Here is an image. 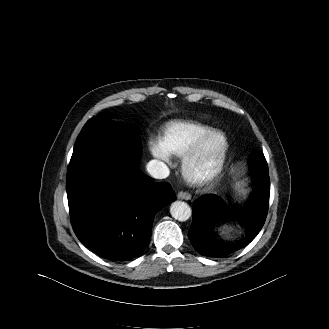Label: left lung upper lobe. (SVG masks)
<instances>
[{"label":"left lung upper lobe","mask_w":329,"mask_h":329,"mask_svg":"<svg viewBox=\"0 0 329 329\" xmlns=\"http://www.w3.org/2000/svg\"><path fill=\"white\" fill-rule=\"evenodd\" d=\"M266 162V159L263 154H258L253 158V163H263Z\"/></svg>","instance_id":"obj_1"}]
</instances>
